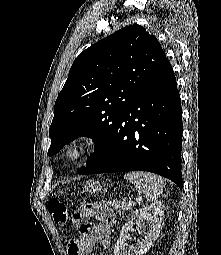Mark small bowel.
<instances>
[{"label": "small bowel", "instance_id": "obj_1", "mask_svg": "<svg viewBox=\"0 0 221 255\" xmlns=\"http://www.w3.org/2000/svg\"><path fill=\"white\" fill-rule=\"evenodd\" d=\"M91 217L97 223H87L78 229L77 235L68 244V255H91L95 245L111 246V230L115 222L114 212L106 203L91 204Z\"/></svg>", "mask_w": 221, "mask_h": 255}]
</instances>
